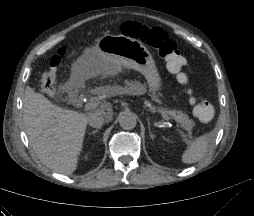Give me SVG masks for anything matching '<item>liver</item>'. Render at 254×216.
<instances>
[{
    "mask_svg": "<svg viewBox=\"0 0 254 216\" xmlns=\"http://www.w3.org/2000/svg\"><path fill=\"white\" fill-rule=\"evenodd\" d=\"M76 63L72 65V75L81 82L91 77L116 76L123 68L119 60H106L96 73L86 74L76 72ZM108 93L112 94V91ZM23 112L26 134L38 158L50 169L67 175L77 168L89 117L95 113L108 121L113 117L109 102L83 114L60 108L29 87L25 90Z\"/></svg>",
    "mask_w": 254,
    "mask_h": 216,
    "instance_id": "obj_1",
    "label": "liver"
}]
</instances>
